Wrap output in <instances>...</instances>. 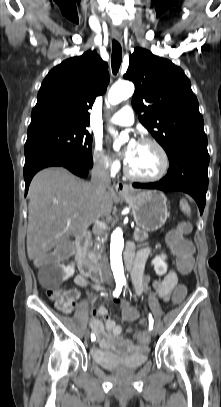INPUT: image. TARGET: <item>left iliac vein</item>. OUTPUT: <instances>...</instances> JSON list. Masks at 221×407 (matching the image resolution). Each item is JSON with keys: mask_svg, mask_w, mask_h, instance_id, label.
Segmentation results:
<instances>
[{"mask_svg": "<svg viewBox=\"0 0 221 407\" xmlns=\"http://www.w3.org/2000/svg\"><path fill=\"white\" fill-rule=\"evenodd\" d=\"M151 334H152V336H156L157 331H156V329H155V328H153V329H152Z\"/></svg>", "mask_w": 221, "mask_h": 407, "instance_id": "1", "label": "left iliac vein"}]
</instances>
